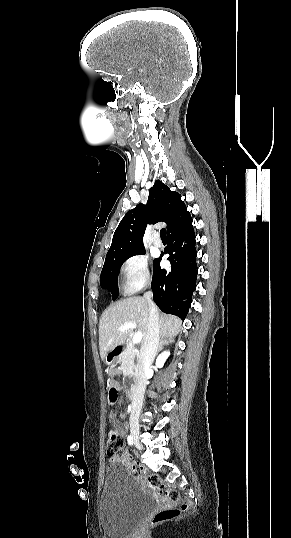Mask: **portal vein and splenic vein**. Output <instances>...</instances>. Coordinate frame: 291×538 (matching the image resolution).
I'll return each instance as SVG.
<instances>
[{
	"instance_id": "portal-vein-and-splenic-vein-1",
	"label": "portal vein and splenic vein",
	"mask_w": 291,
	"mask_h": 538,
	"mask_svg": "<svg viewBox=\"0 0 291 538\" xmlns=\"http://www.w3.org/2000/svg\"><path fill=\"white\" fill-rule=\"evenodd\" d=\"M131 328L132 329L136 328V324L133 323V322H128V323L124 324L123 326H120L119 330L124 331L126 329H131ZM142 337H143V335H142L141 332H135V334L133 336V339H132L133 344L140 343L141 340H142Z\"/></svg>"
}]
</instances>
